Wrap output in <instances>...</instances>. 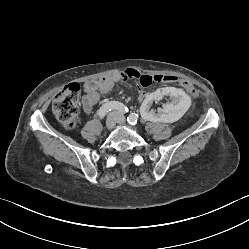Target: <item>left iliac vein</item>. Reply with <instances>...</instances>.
Returning a JSON list of instances; mask_svg holds the SVG:
<instances>
[{"label": "left iliac vein", "instance_id": "1", "mask_svg": "<svg viewBox=\"0 0 249 249\" xmlns=\"http://www.w3.org/2000/svg\"><path fill=\"white\" fill-rule=\"evenodd\" d=\"M125 122V117L123 115L119 114V119H118V123L119 124H123Z\"/></svg>", "mask_w": 249, "mask_h": 249}]
</instances>
